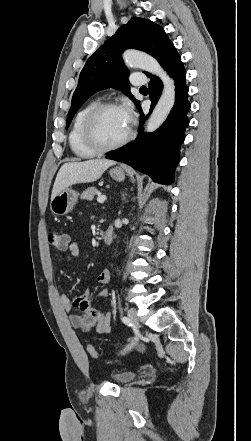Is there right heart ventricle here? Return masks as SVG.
Wrapping results in <instances>:
<instances>
[{"label":"right heart ventricle","instance_id":"obj_1","mask_svg":"<svg viewBox=\"0 0 251 441\" xmlns=\"http://www.w3.org/2000/svg\"><path fill=\"white\" fill-rule=\"evenodd\" d=\"M98 104L92 100L85 104L75 115L69 132L68 140L73 154L80 159H89L95 157L98 153L90 149L83 140L82 127L87 113Z\"/></svg>","mask_w":251,"mask_h":441}]
</instances>
